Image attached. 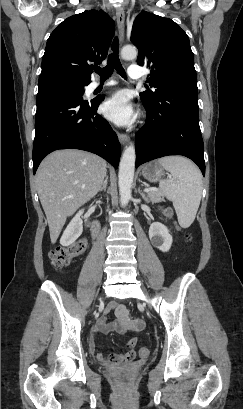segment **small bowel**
<instances>
[{
  "instance_id": "small-bowel-1",
  "label": "small bowel",
  "mask_w": 243,
  "mask_h": 409,
  "mask_svg": "<svg viewBox=\"0 0 243 409\" xmlns=\"http://www.w3.org/2000/svg\"><path fill=\"white\" fill-rule=\"evenodd\" d=\"M111 314L114 316L113 320H110ZM143 326L144 323L141 319L130 317L128 310L123 303H112L104 310L103 317L99 319L93 329V334L88 341L89 350L99 361L107 365L128 362L135 357V347L137 344V339L135 337L129 339L126 343L128 349L126 353L105 356L98 350L94 336L99 333H108L111 331H115L119 335L124 336L131 331H141Z\"/></svg>"
}]
</instances>
